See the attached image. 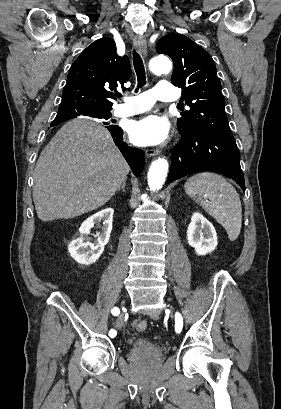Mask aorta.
Returning <instances> with one entry per match:
<instances>
[{"label": "aorta", "mask_w": 281, "mask_h": 409, "mask_svg": "<svg viewBox=\"0 0 281 409\" xmlns=\"http://www.w3.org/2000/svg\"><path fill=\"white\" fill-rule=\"evenodd\" d=\"M155 75L167 74L172 69V62L165 56L153 58L149 63ZM168 172V162L164 158L153 161L148 172V185L151 191L162 188Z\"/></svg>", "instance_id": "aorta-1"}]
</instances>
